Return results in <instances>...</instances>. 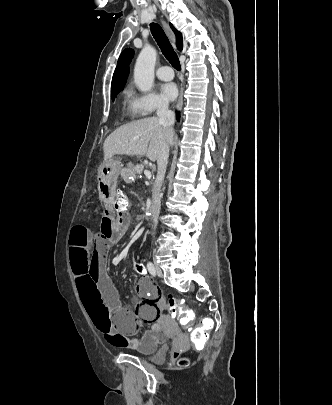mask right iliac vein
I'll return each mask as SVG.
<instances>
[{"mask_svg": "<svg viewBox=\"0 0 332 405\" xmlns=\"http://www.w3.org/2000/svg\"><path fill=\"white\" fill-rule=\"evenodd\" d=\"M154 267H155V271H156L157 275L162 276L163 272H162V269L160 268V266L155 263Z\"/></svg>", "mask_w": 332, "mask_h": 405, "instance_id": "63e3f726", "label": "right iliac vein"}]
</instances>
